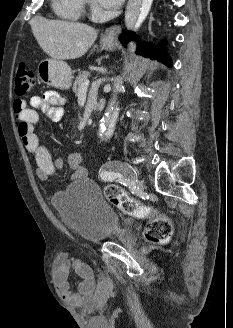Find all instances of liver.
<instances>
[{
	"instance_id": "obj_1",
	"label": "liver",
	"mask_w": 233,
	"mask_h": 328,
	"mask_svg": "<svg viewBox=\"0 0 233 328\" xmlns=\"http://www.w3.org/2000/svg\"><path fill=\"white\" fill-rule=\"evenodd\" d=\"M31 24L34 37L42 50L56 60L83 56L98 35L93 27L78 22L36 17Z\"/></svg>"
}]
</instances>
